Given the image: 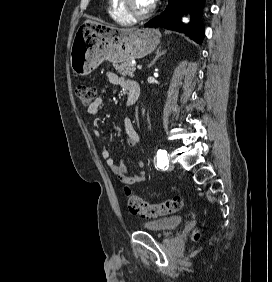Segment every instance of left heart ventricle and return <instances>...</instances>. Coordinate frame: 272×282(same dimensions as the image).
Segmentation results:
<instances>
[{
    "mask_svg": "<svg viewBox=\"0 0 272 282\" xmlns=\"http://www.w3.org/2000/svg\"><path fill=\"white\" fill-rule=\"evenodd\" d=\"M135 9L139 12H144L150 9L153 5L151 0H132Z\"/></svg>",
    "mask_w": 272,
    "mask_h": 282,
    "instance_id": "left-heart-ventricle-1",
    "label": "left heart ventricle"
}]
</instances>
